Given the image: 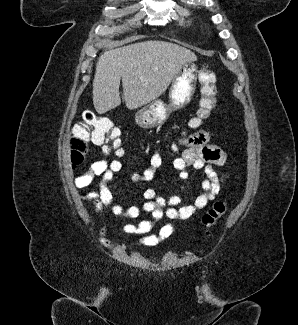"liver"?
<instances>
[{"label": "liver", "mask_w": 298, "mask_h": 325, "mask_svg": "<svg viewBox=\"0 0 298 325\" xmlns=\"http://www.w3.org/2000/svg\"><path fill=\"white\" fill-rule=\"evenodd\" d=\"M190 48L166 42L144 40L105 50L96 62L93 104L98 114L121 104L119 86L127 108L134 110L164 94L182 64L194 62Z\"/></svg>", "instance_id": "liver-1"}]
</instances>
